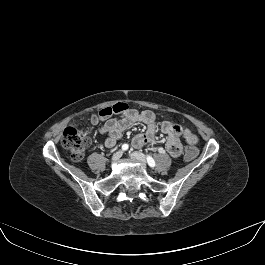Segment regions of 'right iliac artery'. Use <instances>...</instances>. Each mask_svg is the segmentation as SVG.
Here are the masks:
<instances>
[{
    "mask_svg": "<svg viewBox=\"0 0 265 265\" xmlns=\"http://www.w3.org/2000/svg\"><path fill=\"white\" fill-rule=\"evenodd\" d=\"M128 148H129L128 144H123V145H122V150H123V151H127Z\"/></svg>",
    "mask_w": 265,
    "mask_h": 265,
    "instance_id": "right-iliac-artery-1",
    "label": "right iliac artery"
}]
</instances>
